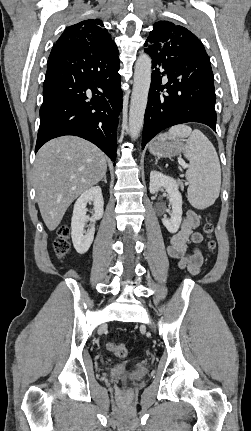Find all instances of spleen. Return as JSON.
I'll list each match as a JSON object with an SVG mask.
<instances>
[{
    "instance_id": "1",
    "label": "spleen",
    "mask_w": 251,
    "mask_h": 431,
    "mask_svg": "<svg viewBox=\"0 0 251 431\" xmlns=\"http://www.w3.org/2000/svg\"><path fill=\"white\" fill-rule=\"evenodd\" d=\"M168 134L188 138L184 155L189 160L186 179L188 201L197 209L214 204L221 187V168L217 152L209 139L198 129L192 130L185 124L173 126Z\"/></svg>"
}]
</instances>
